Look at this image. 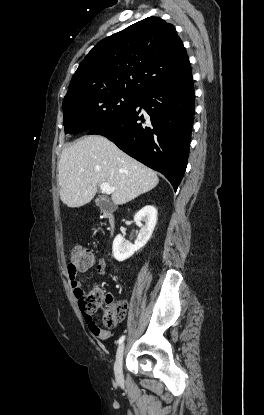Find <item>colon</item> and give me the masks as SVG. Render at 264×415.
<instances>
[{
    "mask_svg": "<svg viewBox=\"0 0 264 415\" xmlns=\"http://www.w3.org/2000/svg\"><path fill=\"white\" fill-rule=\"evenodd\" d=\"M94 264V256L87 248H74L68 262L70 274L76 273L80 268H89ZM79 307L86 315L89 326L98 329L99 326L91 315L98 309H105L104 323L111 326L116 321H122L126 314V302H119L97 286H92L88 293L79 299Z\"/></svg>",
    "mask_w": 264,
    "mask_h": 415,
    "instance_id": "5ec220e1",
    "label": "colon"
}]
</instances>
